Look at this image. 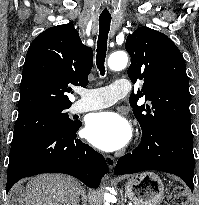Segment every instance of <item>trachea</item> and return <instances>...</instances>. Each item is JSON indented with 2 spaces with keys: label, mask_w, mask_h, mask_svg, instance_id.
<instances>
[{
  "label": "trachea",
  "mask_w": 199,
  "mask_h": 205,
  "mask_svg": "<svg viewBox=\"0 0 199 205\" xmlns=\"http://www.w3.org/2000/svg\"><path fill=\"white\" fill-rule=\"evenodd\" d=\"M111 17H99V36L97 41L96 65L103 76L105 74V58L107 51L108 33L110 30Z\"/></svg>",
  "instance_id": "trachea-1"
}]
</instances>
